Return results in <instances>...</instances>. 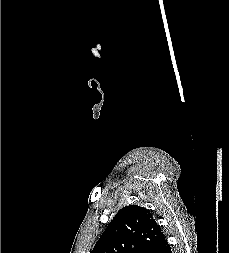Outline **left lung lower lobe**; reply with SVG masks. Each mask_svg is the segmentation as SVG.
<instances>
[{"label":"left lung lower lobe","instance_id":"0a47b994","mask_svg":"<svg viewBox=\"0 0 229 253\" xmlns=\"http://www.w3.org/2000/svg\"><path fill=\"white\" fill-rule=\"evenodd\" d=\"M155 253H172L171 247L168 244L166 238H164L162 242L159 244Z\"/></svg>","mask_w":229,"mask_h":253}]
</instances>
